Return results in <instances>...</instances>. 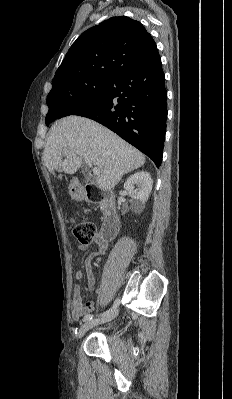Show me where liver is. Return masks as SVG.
<instances>
[{
  "instance_id": "1",
  "label": "liver",
  "mask_w": 232,
  "mask_h": 399,
  "mask_svg": "<svg viewBox=\"0 0 232 399\" xmlns=\"http://www.w3.org/2000/svg\"><path fill=\"white\" fill-rule=\"evenodd\" d=\"M62 156H66L65 160ZM43 160L49 172L65 174H75L83 160H90L100 170L96 180L100 190H113L124 174L145 164V156L139 150L104 126L80 116L55 122L48 132Z\"/></svg>"
}]
</instances>
